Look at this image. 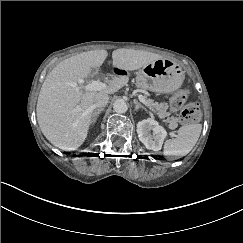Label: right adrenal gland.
<instances>
[{"mask_svg": "<svg viewBox=\"0 0 243 243\" xmlns=\"http://www.w3.org/2000/svg\"><path fill=\"white\" fill-rule=\"evenodd\" d=\"M104 111V108H96L93 115H92V119H91V125L94 126L97 119H98V116L99 114Z\"/></svg>", "mask_w": 243, "mask_h": 243, "instance_id": "obj_1", "label": "right adrenal gland"}]
</instances>
